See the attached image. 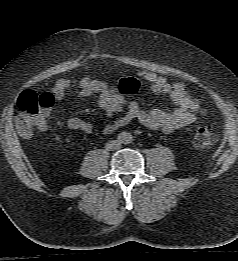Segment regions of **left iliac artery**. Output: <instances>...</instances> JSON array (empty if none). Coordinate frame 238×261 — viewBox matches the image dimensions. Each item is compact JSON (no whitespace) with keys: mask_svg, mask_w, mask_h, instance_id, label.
<instances>
[{"mask_svg":"<svg viewBox=\"0 0 238 261\" xmlns=\"http://www.w3.org/2000/svg\"><path fill=\"white\" fill-rule=\"evenodd\" d=\"M132 142V137L131 135H128L126 138V143H131Z\"/></svg>","mask_w":238,"mask_h":261,"instance_id":"left-iliac-artery-1","label":"left iliac artery"}]
</instances>
